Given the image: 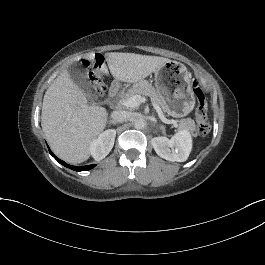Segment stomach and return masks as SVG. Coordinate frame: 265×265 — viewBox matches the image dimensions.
Wrapping results in <instances>:
<instances>
[{
  "mask_svg": "<svg viewBox=\"0 0 265 265\" xmlns=\"http://www.w3.org/2000/svg\"><path fill=\"white\" fill-rule=\"evenodd\" d=\"M155 87L167 103V113L173 117L188 115L195 106L191 74L179 62L170 61L155 71Z\"/></svg>",
  "mask_w": 265,
  "mask_h": 265,
  "instance_id": "obj_1",
  "label": "stomach"
}]
</instances>
